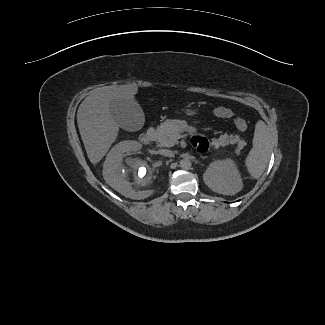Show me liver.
<instances>
[{
	"label": "liver",
	"instance_id": "obj_1",
	"mask_svg": "<svg viewBox=\"0 0 325 325\" xmlns=\"http://www.w3.org/2000/svg\"><path fill=\"white\" fill-rule=\"evenodd\" d=\"M136 85L104 86L93 90L80 104L77 123L87 156L97 164L116 141L119 125L109 107L114 100L134 101Z\"/></svg>",
	"mask_w": 325,
	"mask_h": 325
}]
</instances>
